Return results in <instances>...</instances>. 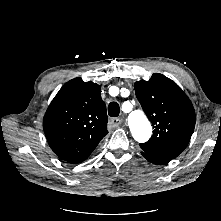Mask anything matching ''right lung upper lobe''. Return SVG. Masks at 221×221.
<instances>
[{
	"instance_id": "cb5924a9",
	"label": "right lung upper lobe",
	"mask_w": 221,
	"mask_h": 221,
	"mask_svg": "<svg viewBox=\"0 0 221 221\" xmlns=\"http://www.w3.org/2000/svg\"><path fill=\"white\" fill-rule=\"evenodd\" d=\"M107 122L100 86L75 78L63 85L52 100L43 128L54 153L76 164L87 159L107 135Z\"/></svg>"
}]
</instances>
